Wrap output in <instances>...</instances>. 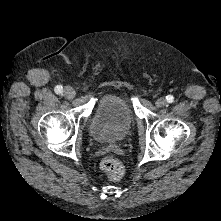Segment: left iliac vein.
I'll use <instances>...</instances> for the list:
<instances>
[{"label": "left iliac vein", "instance_id": "left-iliac-vein-1", "mask_svg": "<svg viewBox=\"0 0 221 221\" xmlns=\"http://www.w3.org/2000/svg\"><path fill=\"white\" fill-rule=\"evenodd\" d=\"M166 105V100L164 98H159L156 101V106L157 107H163Z\"/></svg>", "mask_w": 221, "mask_h": 221}]
</instances>
